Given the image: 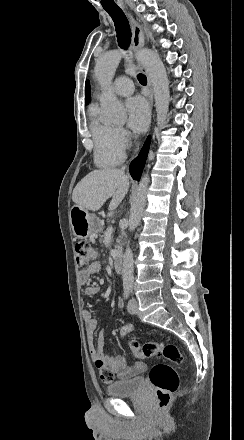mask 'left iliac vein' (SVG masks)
<instances>
[{
	"label": "left iliac vein",
	"instance_id": "4c4485c4",
	"mask_svg": "<svg viewBox=\"0 0 244 440\" xmlns=\"http://www.w3.org/2000/svg\"><path fill=\"white\" fill-rule=\"evenodd\" d=\"M128 312L130 314H136L138 311V303L137 300L135 298H131L128 302V306H127Z\"/></svg>",
	"mask_w": 244,
	"mask_h": 440
}]
</instances>
